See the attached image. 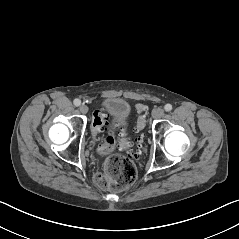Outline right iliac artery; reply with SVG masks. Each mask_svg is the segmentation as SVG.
Here are the masks:
<instances>
[{"label": "right iliac artery", "instance_id": "82829eb1", "mask_svg": "<svg viewBox=\"0 0 239 239\" xmlns=\"http://www.w3.org/2000/svg\"><path fill=\"white\" fill-rule=\"evenodd\" d=\"M73 103L75 106H79L81 104V101L79 99H75Z\"/></svg>", "mask_w": 239, "mask_h": 239}]
</instances>
